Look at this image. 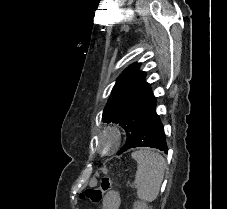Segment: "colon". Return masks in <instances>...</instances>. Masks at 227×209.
Segmentation results:
<instances>
[{
	"label": "colon",
	"mask_w": 227,
	"mask_h": 209,
	"mask_svg": "<svg viewBox=\"0 0 227 209\" xmlns=\"http://www.w3.org/2000/svg\"><path fill=\"white\" fill-rule=\"evenodd\" d=\"M112 180L110 178H106L101 180V184L99 187L89 188L85 190L81 194V198L84 200H88L93 204H97L102 197V194L108 191L111 188Z\"/></svg>",
	"instance_id": "obj_1"
}]
</instances>
